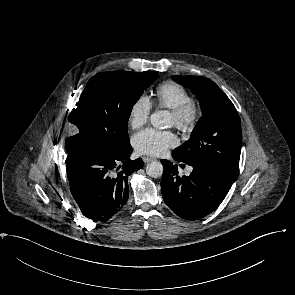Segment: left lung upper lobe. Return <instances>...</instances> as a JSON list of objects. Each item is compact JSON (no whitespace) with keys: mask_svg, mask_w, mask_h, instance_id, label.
Wrapping results in <instances>:
<instances>
[{"mask_svg":"<svg viewBox=\"0 0 295 295\" xmlns=\"http://www.w3.org/2000/svg\"><path fill=\"white\" fill-rule=\"evenodd\" d=\"M197 96L202 117L190 139L173 153L186 164L208 165L234 182L242 144L241 123L230 99L210 79L197 76L172 77Z\"/></svg>","mask_w":295,"mask_h":295,"instance_id":"left-lung-upper-lobe-1","label":"left lung upper lobe"}]
</instances>
